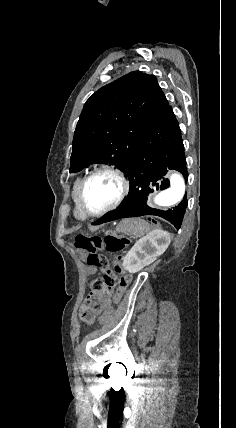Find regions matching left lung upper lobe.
Returning a JSON list of instances; mask_svg holds the SVG:
<instances>
[{"label": "left lung upper lobe", "instance_id": "obj_1", "mask_svg": "<svg viewBox=\"0 0 236 428\" xmlns=\"http://www.w3.org/2000/svg\"><path fill=\"white\" fill-rule=\"evenodd\" d=\"M169 107L157 78L133 71L85 103L73 138L70 173L92 163L125 171L149 126Z\"/></svg>", "mask_w": 236, "mask_h": 428}]
</instances>
